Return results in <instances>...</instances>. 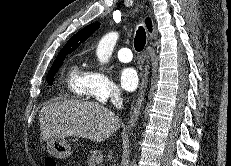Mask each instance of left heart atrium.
I'll list each match as a JSON object with an SVG mask.
<instances>
[{
  "mask_svg": "<svg viewBox=\"0 0 231 166\" xmlns=\"http://www.w3.org/2000/svg\"><path fill=\"white\" fill-rule=\"evenodd\" d=\"M120 85L126 91H133L138 85V74L134 68L125 67L120 71Z\"/></svg>",
  "mask_w": 231,
  "mask_h": 166,
  "instance_id": "obj_1",
  "label": "left heart atrium"
}]
</instances>
